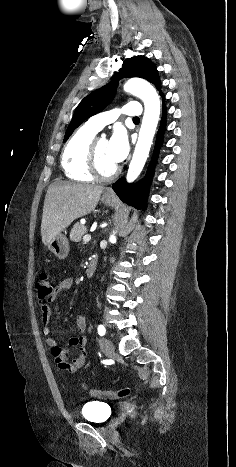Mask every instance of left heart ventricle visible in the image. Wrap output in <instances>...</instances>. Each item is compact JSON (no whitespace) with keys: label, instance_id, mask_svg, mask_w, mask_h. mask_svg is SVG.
Instances as JSON below:
<instances>
[{"label":"left heart ventricle","instance_id":"left-heart-ventricle-1","mask_svg":"<svg viewBox=\"0 0 236 467\" xmlns=\"http://www.w3.org/2000/svg\"><path fill=\"white\" fill-rule=\"evenodd\" d=\"M97 152L100 170L103 173H109L116 166V163L109 156L108 141L106 139H98Z\"/></svg>","mask_w":236,"mask_h":467}]
</instances>
